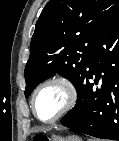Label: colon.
Returning a JSON list of instances; mask_svg holds the SVG:
<instances>
[{
    "instance_id": "colon-1",
    "label": "colon",
    "mask_w": 119,
    "mask_h": 141,
    "mask_svg": "<svg viewBox=\"0 0 119 141\" xmlns=\"http://www.w3.org/2000/svg\"><path fill=\"white\" fill-rule=\"evenodd\" d=\"M34 141H52V140L44 135H36L34 137Z\"/></svg>"
}]
</instances>
